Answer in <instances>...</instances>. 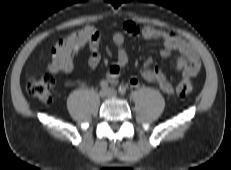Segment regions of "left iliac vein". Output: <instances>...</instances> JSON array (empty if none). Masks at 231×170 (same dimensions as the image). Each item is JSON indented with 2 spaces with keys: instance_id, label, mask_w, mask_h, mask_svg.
<instances>
[{
  "instance_id": "obj_1",
  "label": "left iliac vein",
  "mask_w": 231,
  "mask_h": 170,
  "mask_svg": "<svg viewBox=\"0 0 231 170\" xmlns=\"http://www.w3.org/2000/svg\"><path fill=\"white\" fill-rule=\"evenodd\" d=\"M107 91H108L109 97H112V98L116 97L117 91L115 89L109 88L107 89Z\"/></svg>"
}]
</instances>
